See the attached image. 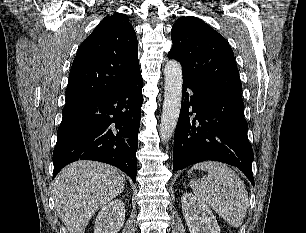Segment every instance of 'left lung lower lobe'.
I'll return each mask as SVG.
<instances>
[{
  "instance_id": "left-lung-lower-lobe-1",
  "label": "left lung lower lobe",
  "mask_w": 306,
  "mask_h": 233,
  "mask_svg": "<svg viewBox=\"0 0 306 233\" xmlns=\"http://www.w3.org/2000/svg\"><path fill=\"white\" fill-rule=\"evenodd\" d=\"M247 129L241 92L183 77L173 171L204 160L221 161L238 167L254 186Z\"/></svg>"
}]
</instances>
